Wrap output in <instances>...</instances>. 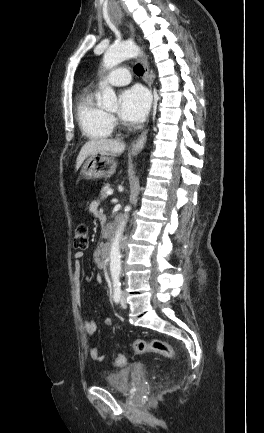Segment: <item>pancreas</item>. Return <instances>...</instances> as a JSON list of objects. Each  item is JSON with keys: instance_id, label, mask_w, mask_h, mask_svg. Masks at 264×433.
Instances as JSON below:
<instances>
[{"instance_id": "1", "label": "pancreas", "mask_w": 264, "mask_h": 433, "mask_svg": "<svg viewBox=\"0 0 264 433\" xmlns=\"http://www.w3.org/2000/svg\"><path fill=\"white\" fill-rule=\"evenodd\" d=\"M110 189V185L107 183L105 184L100 192V199L105 200L108 197L107 191Z\"/></svg>"}]
</instances>
